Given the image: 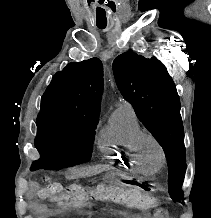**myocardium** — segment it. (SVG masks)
<instances>
[{
  "label": "myocardium",
  "instance_id": "1",
  "mask_svg": "<svg viewBox=\"0 0 211 218\" xmlns=\"http://www.w3.org/2000/svg\"><path fill=\"white\" fill-rule=\"evenodd\" d=\"M146 141H151L154 143V145L157 147L158 149V153H159V164H158V167H160L163 163H164V160H165V154H164V150H163V147L161 145V143L159 142V140L151 133H148V132H142L139 137H138V155L140 157V162L142 164H146L147 162L143 159L142 157V147L144 145V143Z\"/></svg>",
  "mask_w": 211,
  "mask_h": 218
}]
</instances>
